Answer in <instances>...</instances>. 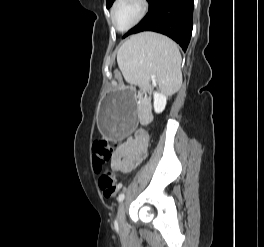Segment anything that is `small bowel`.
I'll return each instance as SVG.
<instances>
[{"label":"small bowel","mask_w":264,"mask_h":247,"mask_svg":"<svg viewBox=\"0 0 264 247\" xmlns=\"http://www.w3.org/2000/svg\"><path fill=\"white\" fill-rule=\"evenodd\" d=\"M141 120L149 122L151 115L142 111ZM149 137L145 131L139 130L133 137L127 138L113 153L111 167L120 173H129L145 159L149 147Z\"/></svg>","instance_id":"1"}]
</instances>
